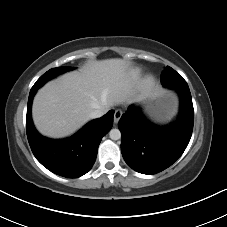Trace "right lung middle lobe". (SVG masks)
<instances>
[{"mask_svg": "<svg viewBox=\"0 0 227 227\" xmlns=\"http://www.w3.org/2000/svg\"><path fill=\"white\" fill-rule=\"evenodd\" d=\"M73 68L69 67H58L48 70L46 73H44L33 85L32 88H40L42 85H44L48 80L52 79L53 77L62 74L68 70H71Z\"/></svg>", "mask_w": 227, "mask_h": 227, "instance_id": "dd1d6c3e", "label": "right lung middle lobe"}]
</instances>
